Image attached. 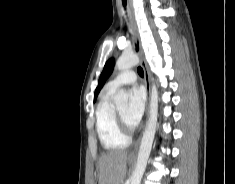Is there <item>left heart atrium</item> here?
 Masks as SVG:
<instances>
[{
	"label": "left heart atrium",
	"mask_w": 235,
	"mask_h": 184,
	"mask_svg": "<svg viewBox=\"0 0 235 184\" xmlns=\"http://www.w3.org/2000/svg\"><path fill=\"white\" fill-rule=\"evenodd\" d=\"M145 109V96L144 93L134 88L131 91L130 105L127 113V123L131 127H136L140 124Z\"/></svg>",
	"instance_id": "39dd6f15"
}]
</instances>
